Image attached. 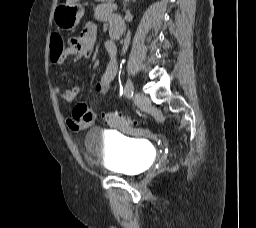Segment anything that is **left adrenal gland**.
Segmentation results:
<instances>
[{
  "label": "left adrenal gland",
  "mask_w": 256,
  "mask_h": 228,
  "mask_svg": "<svg viewBox=\"0 0 256 228\" xmlns=\"http://www.w3.org/2000/svg\"><path fill=\"white\" fill-rule=\"evenodd\" d=\"M128 1H129V0H125V1H124V9H125L126 3H127Z\"/></svg>",
  "instance_id": "1"
}]
</instances>
